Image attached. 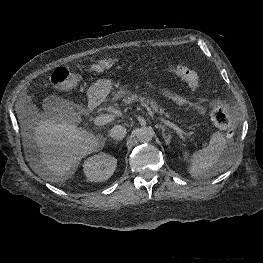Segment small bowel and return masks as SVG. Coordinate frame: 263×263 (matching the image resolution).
I'll return each mask as SVG.
<instances>
[{
	"mask_svg": "<svg viewBox=\"0 0 263 263\" xmlns=\"http://www.w3.org/2000/svg\"><path fill=\"white\" fill-rule=\"evenodd\" d=\"M162 93L167 96L168 98L172 99L174 102H176L177 104L179 105H185L188 103V101L178 95V94H174V93H171L169 91H166V90H163ZM194 107L196 108V110L199 112V113H203L204 112V106L201 104V103H196L194 104Z\"/></svg>",
	"mask_w": 263,
	"mask_h": 263,
	"instance_id": "c3829d8e",
	"label": "small bowel"
}]
</instances>
